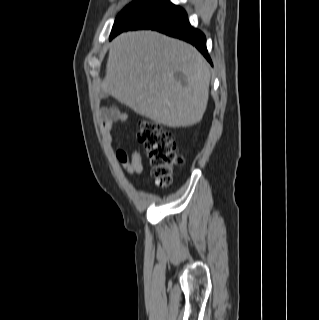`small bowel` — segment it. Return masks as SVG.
Returning <instances> with one entry per match:
<instances>
[{
	"label": "small bowel",
	"mask_w": 319,
	"mask_h": 320,
	"mask_svg": "<svg viewBox=\"0 0 319 320\" xmlns=\"http://www.w3.org/2000/svg\"><path fill=\"white\" fill-rule=\"evenodd\" d=\"M127 120V115L119 111L105 112L102 117L101 129L104 139L109 146L114 145L113 127L117 122ZM116 158L122 164L124 171L131 176H138L143 171L142 157L138 149L131 151L119 149L116 152Z\"/></svg>",
	"instance_id": "obj_1"
}]
</instances>
